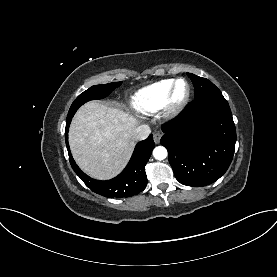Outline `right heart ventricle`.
Masks as SVG:
<instances>
[{
	"label": "right heart ventricle",
	"instance_id": "1",
	"mask_svg": "<svg viewBox=\"0 0 277 277\" xmlns=\"http://www.w3.org/2000/svg\"><path fill=\"white\" fill-rule=\"evenodd\" d=\"M174 79L161 80L138 90L132 97V106L143 114H152L164 107Z\"/></svg>",
	"mask_w": 277,
	"mask_h": 277
}]
</instances>
